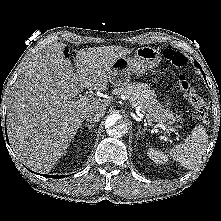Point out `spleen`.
I'll list each match as a JSON object with an SVG mask.
<instances>
[{"label":"spleen","instance_id":"spleen-1","mask_svg":"<svg viewBox=\"0 0 221 221\" xmlns=\"http://www.w3.org/2000/svg\"><path fill=\"white\" fill-rule=\"evenodd\" d=\"M208 135L202 125L194 127L191 135L183 144L176 145L168 152L170 156L186 169L194 168L205 153Z\"/></svg>","mask_w":221,"mask_h":221}]
</instances>
